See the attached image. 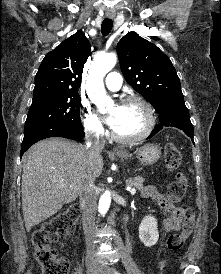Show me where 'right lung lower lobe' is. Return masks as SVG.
I'll return each mask as SVG.
<instances>
[{"label": "right lung lower lobe", "instance_id": "1", "mask_svg": "<svg viewBox=\"0 0 221 274\" xmlns=\"http://www.w3.org/2000/svg\"><path fill=\"white\" fill-rule=\"evenodd\" d=\"M85 136L83 130L62 125H48L39 127L24 133L21 144V155L34 143L49 137H64L73 140H81Z\"/></svg>", "mask_w": 221, "mask_h": 274}]
</instances>
